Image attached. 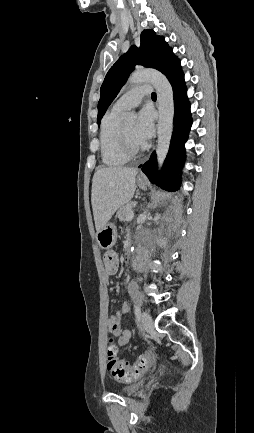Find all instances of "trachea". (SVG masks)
Masks as SVG:
<instances>
[{
    "label": "trachea",
    "mask_w": 254,
    "mask_h": 433,
    "mask_svg": "<svg viewBox=\"0 0 254 433\" xmlns=\"http://www.w3.org/2000/svg\"><path fill=\"white\" fill-rule=\"evenodd\" d=\"M151 97H152V99H156V98H157L156 93H152V94H151Z\"/></svg>",
    "instance_id": "obj_1"
}]
</instances>
